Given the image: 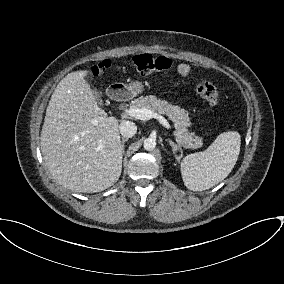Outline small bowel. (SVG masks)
Returning a JSON list of instances; mask_svg holds the SVG:
<instances>
[{"instance_id":"small-bowel-1","label":"small bowel","mask_w":284,"mask_h":284,"mask_svg":"<svg viewBox=\"0 0 284 284\" xmlns=\"http://www.w3.org/2000/svg\"><path fill=\"white\" fill-rule=\"evenodd\" d=\"M177 70L182 76H187L192 72V68L187 64H179Z\"/></svg>"}]
</instances>
